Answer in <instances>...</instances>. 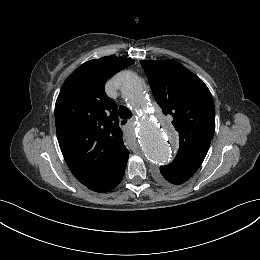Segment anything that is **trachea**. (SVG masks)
Returning a JSON list of instances; mask_svg holds the SVG:
<instances>
[{
	"instance_id": "3493384b",
	"label": "trachea",
	"mask_w": 260,
	"mask_h": 260,
	"mask_svg": "<svg viewBox=\"0 0 260 260\" xmlns=\"http://www.w3.org/2000/svg\"><path fill=\"white\" fill-rule=\"evenodd\" d=\"M118 112L120 117L123 119H129L132 117V112L125 106H120Z\"/></svg>"
}]
</instances>
